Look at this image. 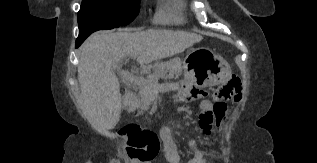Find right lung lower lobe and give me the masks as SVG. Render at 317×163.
Masks as SVG:
<instances>
[{
	"label": "right lung lower lobe",
	"instance_id": "right-lung-lower-lobe-1",
	"mask_svg": "<svg viewBox=\"0 0 317 163\" xmlns=\"http://www.w3.org/2000/svg\"><path fill=\"white\" fill-rule=\"evenodd\" d=\"M83 41H76V47H79Z\"/></svg>",
	"mask_w": 317,
	"mask_h": 163
}]
</instances>
